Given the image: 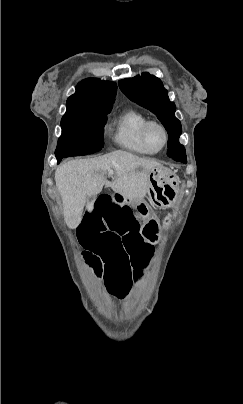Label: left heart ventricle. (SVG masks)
Wrapping results in <instances>:
<instances>
[{"mask_svg":"<svg viewBox=\"0 0 243 404\" xmlns=\"http://www.w3.org/2000/svg\"><path fill=\"white\" fill-rule=\"evenodd\" d=\"M147 136L153 147L158 148L162 145L163 133L157 126H151L147 131Z\"/></svg>","mask_w":243,"mask_h":404,"instance_id":"b2bd125f","label":"left heart ventricle"}]
</instances>
